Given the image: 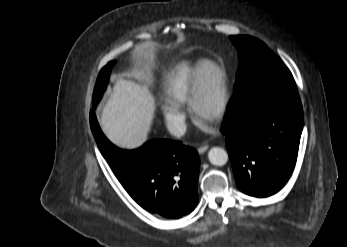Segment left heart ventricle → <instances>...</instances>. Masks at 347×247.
Listing matches in <instances>:
<instances>
[{"instance_id": "b2bd125f", "label": "left heart ventricle", "mask_w": 347, "mask_h": 247, "mask_svg": "<svg viewBox=\"0 0 347 247\" xmlns=\"http://www.w3.org/2000/svg\"><path fill=\"white\" fill-rule=\"evenodd\" d=\"M218 102V92L215 89L213 84L208 86L207 91L205 92L203 99V110L206 114H209L213 111Z\"/></svg>"}]
</instances>
